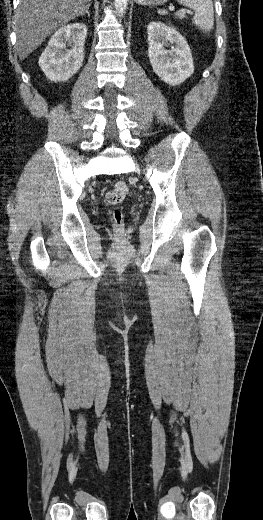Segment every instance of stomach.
Listing matches in <instances>:
<instances>
[{
	"mask_svg": "<svg viewBox=\"0 0 263 520\" xmlns=\"http://www.w3.org/2000/svg\"><path fill=\"white\" fill-rule=\"evenodd\" d=\"M138 4L144 6L150 5H161L167 2L168 0H135Z\"/></svg>",
	"mask_w": 263,
	"mask_h": 520,
	"instance_id": "obj_1",
	"label": "stomach"
}]
</instances>
